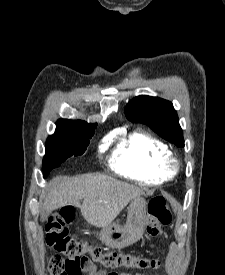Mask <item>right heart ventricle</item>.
<instances>
[{
  "mask_svg": "<svg viewBox=\"0 0 225 275\" xmlns=\"http://www.w3.org/2000/svg\"><path fill=\"white\" fill-rule=\"evenodd\" d=\"M169 147L153 135L135 130L118 139L110 167L118 175L144 185H157L173 178L168 168Z\"/></svg>",
  "mask_w": 225,
  "mask_h": 275,
  "instance_id": "right-heart-ventricle-1",
  "label": "right heart ventricle"
}]
</instances>
